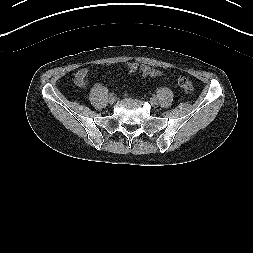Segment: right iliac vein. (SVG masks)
<instances>
[{"mask_svg": "<svg viewBox=\"0 0 253 253\" xmlns=\"http://www.w3.org/2000/svg\"><path fill=\"white\" fill-rule=\"evenodd\" d=\"M116 102V97L115 96H110L109 97V103L110 104H113V103H115Z\"/></svg>", "mask_w": 253, "mask_h": 253, "instance_id": "obj_1", "label": "right iliac vein"}]
</instances>
